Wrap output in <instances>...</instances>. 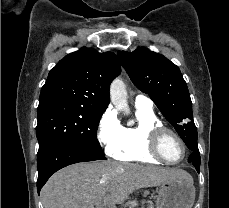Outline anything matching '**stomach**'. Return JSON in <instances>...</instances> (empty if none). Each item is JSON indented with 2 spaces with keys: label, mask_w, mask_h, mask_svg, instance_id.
Returning <instances> with one entry per match:
<instances>
[{
  "label": "stomach",
  "mask_w": 229,
  "mask_h": 208,
  "mask_svg": "<svg viewBox=\"0 0 229 208\" xmlns=\"http://www.w3.org/2000/svg\"><path fill=\"white\" fill-rule=\"evenodd\" d=\"M156 208H192L195 200L193 180H169L157 192Z\"/></svg>",
  "instance_id": "stomach-1"
}]
</instances>
